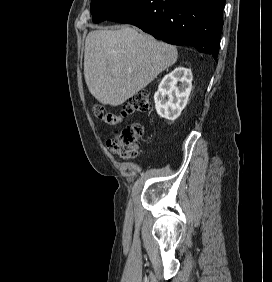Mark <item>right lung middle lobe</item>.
<instances>
[{"instance_id": "dd1d6c3e", "label": "right lung middle lobe", "mask_w": 272, "mask_h": 282, "mask_svg": "<svg viewBox=\"0 0 272 282\" xmlns=\"http://www.w3.org/2000/svg\"><path fill=\"white\" fill-rule=\"evenodd\" d=\"M136 0H92L90 10L94 23L109 20Z\"/></svg>"}]
</instances>
